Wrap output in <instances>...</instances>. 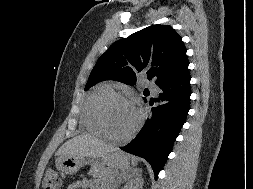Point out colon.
Instances as JSON below:
<instances>
[{
    "instance_id": "colon-1",
    "label": "colon",
    "mask_w": 253,
    "mask_h": 189,
    "mask_svg": "<svg viewBox=\"0 0 253 189\" xmlns=\"http://www.w3.org/2000/svg\"><path fill=\"white\" fill-rule=\"evenodd\" d=\"M63 182V176L55 169H50L43 180L44 189H59Z\"/></svg>"
}]
</instances>
